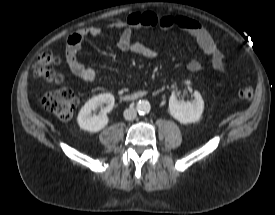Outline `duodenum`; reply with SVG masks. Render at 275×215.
I'll return each mask as SVG.
<instances>
[{
    "instance_id": "obj_1",
    "label": "duodenum",
    "mask_w": 275,
    "mask_h": 215,
    "mask_svg": "<svg viewBox=\"0 0 275 215\" xmlns=\"http://www.w3.org/2000/svg\"><path fill=\"white\" fill-rule=\"evenodd\" d=\"M146 95L147 94L144 91L134 92L130 94H123L120 96V100L123 102H134L146 97Z\"/></svg>"
}]
</instances>
